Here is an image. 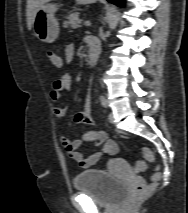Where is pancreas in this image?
<instances>
[{
	"instance_id": "1",
	"label": "pancreas",
	"mask_w": 188,
	"mask_h": 213,
	"mask_svg": "<svg viewBox=\"0 0 188 213\" xmlns=\"http://www.w3.org/2000/svg\"><path fill=\"white\" fill-rule=\"evenodd\" d=\"M67 21H64V27H71V28H79L81 20L79 19V12H73L67 16Z\"/></svg>"
}]
</instances>
